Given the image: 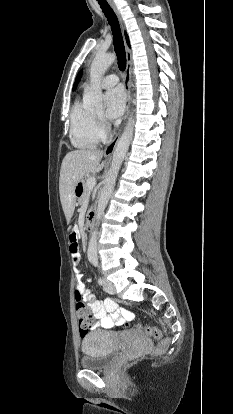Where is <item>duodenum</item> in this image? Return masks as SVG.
Wrapping results in <instances>:
<instances>
[{
    "instance_id": "1",
    "label": "duodenum",
    "mask_w": 233,
    "mask_h": 414,
    "mask_svg": "<svg viewBox=\"0 0 233 414\" xmlns=\"http://www.w3.org/2000/svg\"><path fill=\"white\" fill-rule=\"evenodd\" d=\"M78 185L82 187L81 184H78ZM95 218H96V212L94 210L90 211L87 214L86 220H85V223H84L85 230H91L93 228Z\"/></svg>"
}]
</instances>
